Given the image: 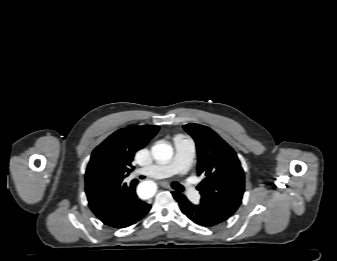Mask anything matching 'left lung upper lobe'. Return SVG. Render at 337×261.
I'll use <instances>...</instances> for the list:
<instances>
[{"label":"left lung upper lobe","instance_id":"left-lung-upper-lobe-1","mask_svg":"<svg viewBox=\"0 0 337 261\" xmlns=\"http://www.w3.org/2000/svg\"><path fill=\"white\" fill-rule=\"evenodd\" d=\"M183 128L196 142L200 206L228 219L239 207L244 193V172L234 150L210 128L187 124Z\"/></svg>","mask_w":337,"mask_h":261}]
</instances>
